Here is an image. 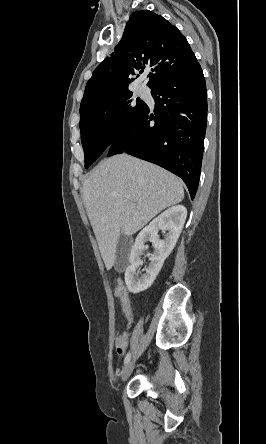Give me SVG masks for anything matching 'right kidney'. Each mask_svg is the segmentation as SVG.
Instances as JSON below:
<instances>
[{"instance_id": "right-kidney-1", "label": "right kidney", "mask_w": 266, "mask_h": 444, "mask_svg": "<svg viewBox=\"0 0 266 444\" xmlns=\"http://www.w3.org/2000/svg\"><path fill=\"white\" fill-rule=\"evenodd\" d=\"M186 217L187 210L183 205L173 206L156 217L138 234L129 256L130 265L125 271V283L131 293L145 291L153 284L165 259L176 245ZM159 230L166 232L164 240L159 238ZM147 241L152 242L154 252L149 257L150 264L145 268V274L138 278L136 270L141 264L140 257Z\"/></svg>"}]
</instances>
